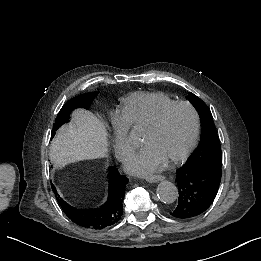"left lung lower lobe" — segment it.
Returning <instances> with one entry per match:
<instances>
[{
	"label": "left lung lower lobe",
	"mask_w": 261,
	"mask_h": 261,
	"mask_svg": "<svg viewBox=\"0 0 261 261\" xmlns=\"http://www.w3.org/2000/svg\"><path fill=\"white\" fill-rule=\"evenodd\" d=\"M222 164L203 161L186 163L177 170L178 205L170 211L175 218H193L204 213L215 199L221 181Z\"/></svg>",
	"instance_id": "obj_1"
}]
</instances>
